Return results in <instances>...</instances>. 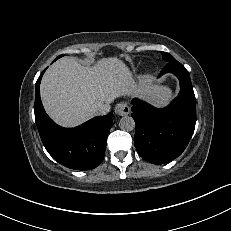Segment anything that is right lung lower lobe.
<instances>
[{"mask_svg": "<svg viewBox=\"0 0 231 231\" xmlns=\"http://www.w3.org/2000/svg\"><path fill=\"white\" fill-rule=\"evenodd\" d=\"M45 70L36 82L34 106L41 140L48 153L63 166L75 170L94 169L104 158L107 134L113 125L112 112L75 128L58 126L45 113L40 100L39 86Z\"/></svg>", "mask_w": 231, "mask_h": 231, "instance_id": "98d812e1", "label": "right lung lower lobe"}]
</instances>
